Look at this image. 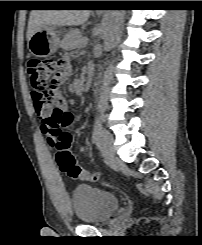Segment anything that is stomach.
Listing matches in <instances>:
<instances>
[{"instance_id":"1","label":"stomach","mask_w":202,"mask_h":245,"mask_svg":"<svg viewBox=\"0 0 202 245\" xmlns=\"http://www.w3.org/2000/svg\"><path fill=\"white\" fill-rule=\"evenodd\" d=\"M57 27L47 25L35 32L28 41V48L32 55L46 58L56 52L59 47Z\"/></svg>"}]
</instances>
